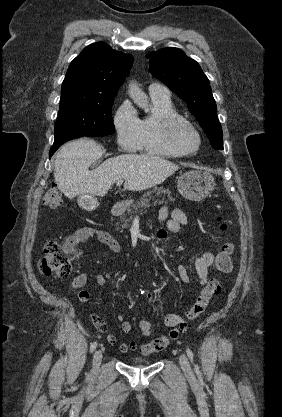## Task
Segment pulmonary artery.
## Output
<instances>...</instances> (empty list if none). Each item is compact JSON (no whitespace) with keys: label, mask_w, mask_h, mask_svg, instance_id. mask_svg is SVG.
<instances>
[{"label":"pulmonary artery","mask_w":282,"mask_h":417,"mask_svg":"<svg viewBox=\"0 0 282 417\" xmlns=\"http://www.w3.org/2000/svg\"><path fill=\"white\" fill-rule=\"evenodd\" d=\"M148 90L151 97L170 99L171 93L169 89L159 83H152Z\"/></svg>","instance_id":"obj_1"}]
</instances>
